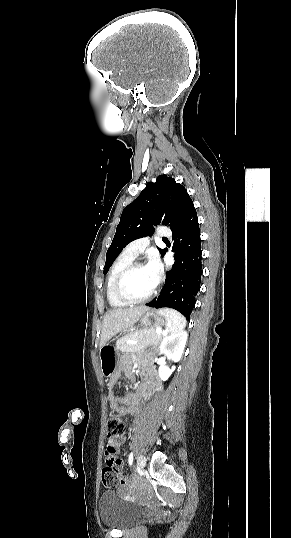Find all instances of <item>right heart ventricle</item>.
<instances>
[{"label": "right heart ventricle", "instance_id": "e07e8e85", "mask_svg": "<svg viewBox=\"0 0 291 538\" xmlns=\"http://www.w3.org/2000/svg\"><path fill=\"white\" fill-rule=\"evenodd\" d=\"M135 258L123 251L113 262L106 281V295L109 304L112 307H124L127 303L119 300L115 294V281L118 275L130 264Z\"/></svg>", "mask_w": 291, "mask_h": 538}]
</instances>
